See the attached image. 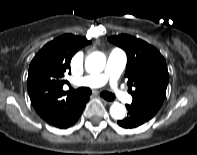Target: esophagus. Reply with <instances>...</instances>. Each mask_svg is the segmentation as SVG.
<instances>
[{"instance_id": "34e87169", "label": "esophagus", "mask_w": 197, "mask_h": 155, "mask_svg": "<svg viewBox=\"0 0 197 155\" xmlns=\"http://www.w3.org/2000/svg\"><path fill=\"white\" fill-rule=\"evenodd\" d=\"M101 101H102L104 104H107V105H110V104H112V102H110V101H107V100H105V99H102V98H101Z\"/></svg>"}]
</instances>
